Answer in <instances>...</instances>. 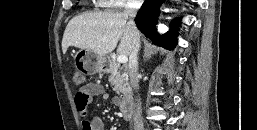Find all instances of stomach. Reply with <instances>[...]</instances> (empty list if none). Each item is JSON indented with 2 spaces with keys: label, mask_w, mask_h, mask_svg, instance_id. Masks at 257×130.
Segmentation results:
<instances>
[{
  "label": "stomach",
  "mask_w": 257,
  "mask_h": 130,
  "mask_svg": "<svg viewBox=\"0 0 257 130\" xmlns=\"http://www.w3.org/2000/svg\"><path fill=\"white\" fill-rule=\"evenodd\" d=\"M75 60L84 73L93 75L104 70L107 58L90 50L81 49L77 52Z\"/></svg>",
  "instance_id": "obj_1"
}]
</instances>
